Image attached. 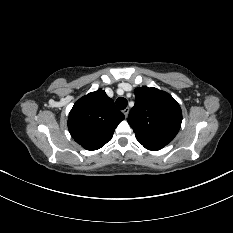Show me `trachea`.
I'll use <instances>...</instances> for the list:
<instances>
[{
	"label": "trachea",
	"mask_w": 233,
	"mask_h": 233,
	"mask_svg": "<svg viewBox=\"0 0 233 233\" xmlns=\"http://www.w3.org/2000/svg\"><path fill=\"white\" fill-rule=\"evenodd\" d=\"M128 101L123 97H119L116 100V105L120 110H124L127 107Z\"/></svg>",
	"instance_id": "obj_1"
}]
</instances>
